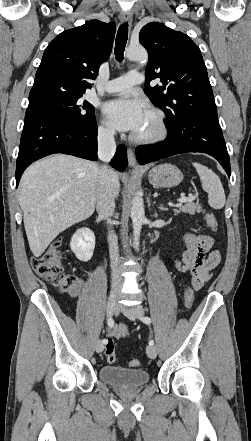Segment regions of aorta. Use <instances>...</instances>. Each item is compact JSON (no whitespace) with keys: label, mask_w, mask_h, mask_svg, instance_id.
Wrapping results in <instances>:
<instances>
[{"label":"aorta","mask_w":251,"mask_h":441,"mask_svg":"<svg viewBox=\"0 0 251 441\" xmlns=\"http://www.w3.org/2000/svg\"><path fill=\"white\" fill-rule=\"evenodd\" d=\"M126 57L140 64H145L148 60L147 51L143 47H129ZM131 219L133 224L134 247L139 250V237L142 225L145 220L144 203L140 196H135L132 200Z\"/></svg>","instance_id":"obj_1"}]
</instances>
